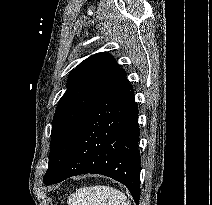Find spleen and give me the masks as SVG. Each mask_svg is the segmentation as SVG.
<instances>
[{
    "label": "spleen",
    "mask_w": 212,
    "mask_h": 205,
    "mask_svg": "<svg viewBox=\"0 0 212 205\" xmlns=\"http://www.w3.org/2000/svg\"><path fill=\"white\" fill-rule=\"evenodd\" d=\"M68 205H131L127 196L110 186H90L76 190L68 198Z\"/></svg>",
    "instance_id": "obj_1"
}]
</instances>
